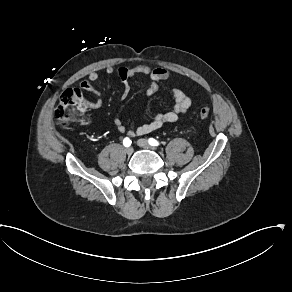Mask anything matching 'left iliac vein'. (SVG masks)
Masks as SVG:
<instances>
[{
  "label": "left iliac vein",
  "mask_w": 292,
  "mask_h": 292,
  "mask_svg": "<svg viewBox=\"0 0 292 292\" xmlns=\"http://www.w3.org/2000/svg\"><path fill=\"white\" fill-rule=\"evenodd\" d=\"M138 146L149 149V150H156L154 147L150 146L149 142L146 139H139L137 141Z\"/></svg>",
  "instance_id": "4c4485c4"
}]
</instances>
